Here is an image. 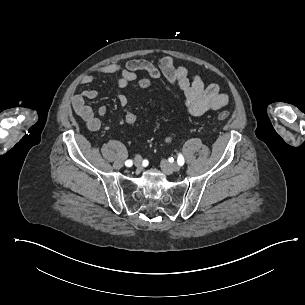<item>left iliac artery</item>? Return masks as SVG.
Returning a JSON list of instances; mask_svg holds the SVG:
<instances>
[{"label": "left iliac artery", "instance_id": "left-iliac-artery-1", "mask_svg": "<svg viewBox=\"0 0 305 305\" xmlns=\"http://www.w3.org/2000/svg\"><path fill=\"white\" fill-rule=\"evenodd\" d=\"M177 162L180 166L184 164V158L181 154H179Z\"/></svg>", "mask_w": 305, "mask_h": 305}]
</instances>
